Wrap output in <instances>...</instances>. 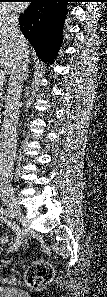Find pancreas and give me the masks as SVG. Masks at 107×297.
Instances as JSON below:
<instances>
[{
  "label": "pancreas",
  "instance_id": "1",
  "mask_svg": "<svg viewBox=\"0 0 107 297\" xmlns=\"http://www.w3.org/2000/svg\"><path fill=\"white\" fill-rule=\"evenodd\" d=\"M3 101V96H1V102Z\"/></svg>",
  "mask_w": 107,
  "mask_h": 297
}]
</instances>
